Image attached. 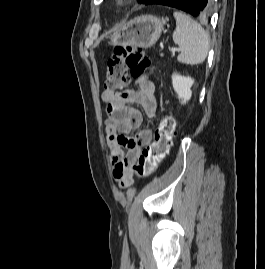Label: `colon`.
Segmentation results:
<instances>
[{
    "instance_id": "1",
    "label": "colon",
    "mask_w": 265,
    "mask_h": 269,
    "mask_svg": "<svg viewBox=\"0 0 265 269\" xmlns=\"http://www.w3.org/2000/svg\"><path fill=\"white\" fill-rule=\"evenodd\" d=\"M151 60L143 49L125 45L117 46L108 59L105 87L110 91L122 90L129 82V72L141 76L152 71ZM175 121L168 115L160 117L152 142L142 151L134 164L135 174L142 178L150 175L167 155L174 137Z\"/></svg>"
}]
</instances>
